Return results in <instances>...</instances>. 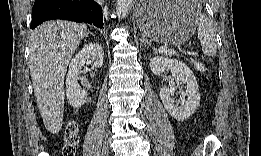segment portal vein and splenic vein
Instances as JSON below:
<instances>
[{"instance_id":"18ae733b","label":"portal vein and splenic vein","mask_w":261,"mask_h":156,"mask_svg":"<svg viewBox=\"0 0 261 156\" xmlns=\"http://www.w3.org/2000/svg\"><path fill=\"white\" fill-rule=\"evenodd\" d=\"M158 51H159V53H165L167 51V45L160 47V49Z\"/></svg>"}]
</instances>
